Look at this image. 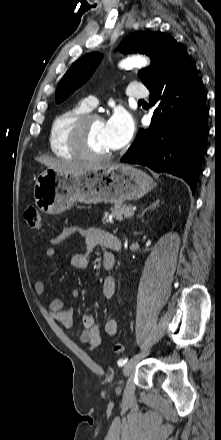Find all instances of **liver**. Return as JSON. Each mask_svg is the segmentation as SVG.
I'll list each match as a JSON object with an SVG mask.
<instances>
[{"instance_id":"liver-1","label":"liver","mask_w":221,"mask_h":440,"mask_svg":"<svg viewBox=\"0 0 221 440\" xmlns=\"http://www.w3.org/2000/svg\"><path fill=\"white\" fill-rule=\"evenodd\" d=\"M36 160L48 166L50 169H54L58 172L70 173L74 175L87 173L91 170H97L108 165L103 163L65 161V160L54 159L48 156L37 157Z\"/></svg>"}]
</instances>
